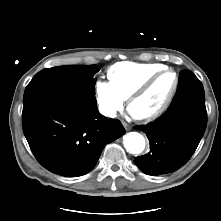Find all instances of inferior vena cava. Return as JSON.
<instances>
[{
    "label": "inferior vena cava",
    "mask_w": 221,
    "mask_h": 221,
    "mask_svg": "<svg viewBox=\"0 0 221 221\" xmlns=\"http://www.w3.org/2000/svg\"><path fill=\"white\" fill-rule=\"evenodd\" d=\"M103 114L105 116H109V117H115L116 116V111L113 109H104L103 110Z\"/></svg>",
    "instance_id": "1"
}]
</instances>
